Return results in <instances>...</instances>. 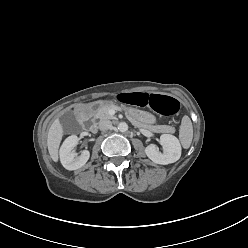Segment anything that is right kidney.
Instances as JSON below:
<instances>
[{
	"label": "right kidney",
	"instance_id": "obj_1",
	"mask_svg": "<svg viewBox=\"0 0 248 248\" xmlns=\"http://www.w3.org/2000/svg\"><path fill=\"white\" fill-rule=\"evenodd\" d=\"M79 138L76 135L69 136L60 148V161L67 170H77L84 166L89 160L90 152L83 150L80 156L74 152V147L78 144Z\"/></svg>",
	"mask_w": 248,
	"mask_h": 248
}]
</instances>
